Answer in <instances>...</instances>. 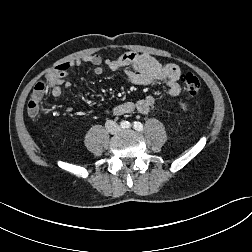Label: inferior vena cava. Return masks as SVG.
Wrapping results in <instances>:
<instances>
[{
	"label": "inferior vena cava",
	"instance_id": "1",
	"mask_svg": "<svg viewBox=\"0 0 252 252\" xmlns=\"http://www.w3.org/2000/svg\"><path fill=\"white\" fill-rule=\"evenodd\" d=\"M105 127L107 131L111 134L118 133L121 130L120 126L115 121L112 120H108L105 123Z\"/></svg>",
	"mask_w": 252,
	"mask_h": 252
}]
</instances>
